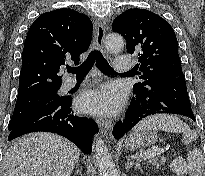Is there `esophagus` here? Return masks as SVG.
I'll use <instances>...</instances> for the list:
<instances>
[{
  "instance_id": "esophagus-1",
  "label": "esophagus",
  "mask_w": 205,
  "mask_h": 176,
  "mask_svg": "<svg viewBox=\"0 0 205 176\" xmlns=\"http://www.w3.org/2000/svg\"><path fill=\"white\" fill-rule=\"evenodd\" d=\"M95 44L97 48L104 54H106L105 48H104V37L106 32V21L103 19H97L95 21ZM97 124L103 128L105 131H110L113 127V121L112 120H104L102 118L96 119Z\"/></svg>"
}]
</instances>
